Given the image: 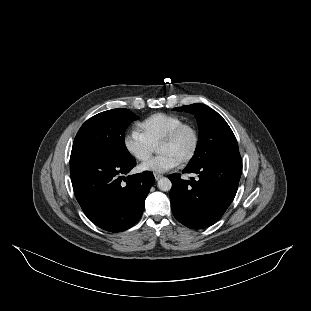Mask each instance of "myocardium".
<instances>
[{
	"instance_id": "myocardium-1",
	"label": "myocardium",
	"mask_w": 311,
	"mask_h": 311,
	"mask_svg": "<svg viewBox=\"0 0 311 311\" xmlns=\"http://www.w3.org/2000/svg\"><path fill=\"white\" fill-rule=\"evenodd\" d=\"M188 129L193 131L195 140H194V145H193L191 152L189 153L188 156H186L181 161V164L183 165L190 164L197 157L199 153L201 142H202V134H201L200 127L198 126L197 123L193 121H184L180 123L178 126L173 128L167 135H165L158 143V145L174 143L179 139L181 134L185 130H188Z\"/></svg>"
}]
</instances>
